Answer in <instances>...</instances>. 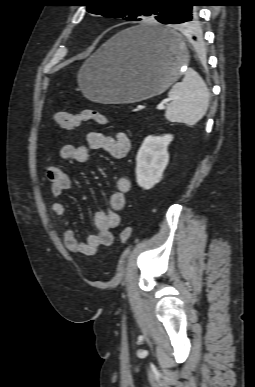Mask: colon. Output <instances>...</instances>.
<instances>
[{
  "instance_id": "obj_1",
  "label": "colon",
  "mask_w": 255,
  "mask_h": 387,
  "mask_svg": "<svg viewBox=\"0 0 255 387\" xmlns=\"http://www.w3.org/2000/svg\"><path fill=\"white\" fill-rule=\"evenodd\" d=\"M53 120L63 129H74L87 121H94L99 125H107L109 123L108 117L92 109H85L79 113L56 111L53 115ZM119 237L122 243H127L131 237V229L129 227L124 228Z\"/></svg>"
}]
</instances>
